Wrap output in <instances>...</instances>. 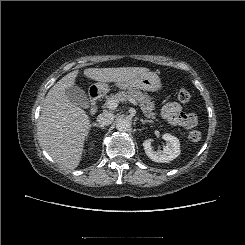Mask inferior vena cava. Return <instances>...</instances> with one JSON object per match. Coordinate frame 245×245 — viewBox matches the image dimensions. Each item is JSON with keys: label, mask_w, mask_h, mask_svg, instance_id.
<instances>
[{"label": "inferior vena cava", "mask_w": 245, "mask_h": 245, "mask_svg": "<svg viewBox=\"0 0 245 245\" xmlns=\"http://www.w3.org/2000/svg\"><path fill=\"white\" fill-rule=\"evenodd\" d=\"M114 120V114L110 112H104L97 116V122L103 126L110 125Z\"/></svg>", "instance_id": "1"}]
</instances>
